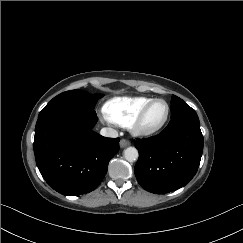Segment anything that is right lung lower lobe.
<instances>
[{
	"label": "right lung lower lobe",
	"mask_w": 243,
	"mask_h": 243,
	"mask_svg": "<svg viewBox=\"0 0 243 243\" xmlns=\"http://www.w3.org/2000/svg\"><path fill=\"white\" fill-rule=\"evenodd\" d=\"M96 122L94 110L57 106L40 112L34 137L36 164L57 192L86 194L103 180L120 139L94 132Z\"/></svg>",
	"instance_id": "right-lung-lower-lobe-1"
}]
</instances>
